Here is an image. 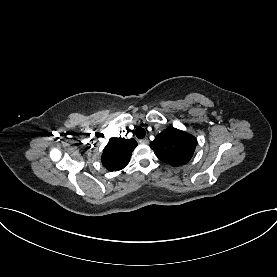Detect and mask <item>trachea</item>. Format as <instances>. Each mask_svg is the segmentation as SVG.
Returning <instances> with one entry per match:
<instances>
[{
	"mask_svg": "<svg viewBox=\"0 0 277 277\" xmlns=\"http://www.w3.org/2000/svg\"><path fill=\"white\" fill-rule=\"evenodd\" d=\"M135 134L138 139H142L145 137L146 132L142 127H137L135 130Z\"/></svg>",
	"mask_w": 277,
	"mask_h": 277,
	"instance_id": "1",
	"label": "trachea"
}]
</instances>
